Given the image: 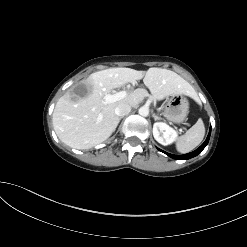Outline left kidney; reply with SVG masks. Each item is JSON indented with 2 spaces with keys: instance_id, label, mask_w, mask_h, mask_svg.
Listing matches in <instances>:
<instances>
[{
  "instance_id": "left-kidney-1",
  "label": "left kidney",
  "mask_w": 247,
  "mask_h": 247,
  "mask_svg": "<svg viewBox=\"0 0 247 247\" xmlns=\"http://www.w3.org/2000/svg\"><path fill=\"white\" fill-rule=\"evenodd\" d=\"M153 136L155 140L166 146L172 144L177 139V132L164 122H156L153 125Z\"/></svg>"
}]
</instances>
